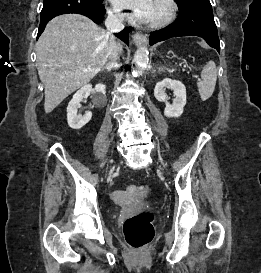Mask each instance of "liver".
I'll return each instance as SVG.
<instances>
[{
    "label": "liver",
    "mask_w": 261,
    "mask_h": 273,
    "mask_svg": "<svg viewBox=\"0 0 261 273\" xmlns=\"http://www.w3.org/2000/svg\"><path fill=\"white\" fill-rule=\"evenodd\" d=\"M109 49L108 33L87 17L64 14L52 19L36 44L45 113L88 84L106 64Z\"/></svg>",
    "instance_id": "obj_1"
}]
</instances>
